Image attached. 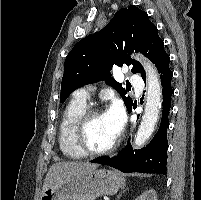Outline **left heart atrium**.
I'll list each match as a JSON object with an SVG mask.
<instances>
[{
  "label": "left heart atrium",
  "instance_id": "left-heart-atrium-1",
  "mask_svg": "<svg viewBox=\"0 0 201 200\" xmlns=\"http://www.w3.org/2000/svg\"><path fill=\"white\" fill-rule=\"evenodd\" d=\"M105 115L111 125L114 135L117 138L121 134L125 122V117L121 106L117 103L111 105Z\"/></svg>",
  "mask_w": 201,
  "mask_h": 200
}]
</instances>
